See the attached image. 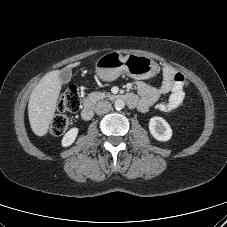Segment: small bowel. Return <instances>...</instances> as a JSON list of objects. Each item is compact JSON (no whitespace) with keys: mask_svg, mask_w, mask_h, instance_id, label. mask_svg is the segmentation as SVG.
<instances>
[{"mask_svg":"<svg viewBox=\"0 0 227 227\" xmlns=\"http://www.w3.org/2000/svg\"><path fill=\"white\" fill-rule=\"evenodd\" d=\"M186 79L171 66L163 68V78L159 87H153L145 82L136 83V89L139 94L137 98V108L140 112H147L150 107L156 105V108L164 113L175 111L185 98ZM162 94H169L168 98L159 101Z\"/></svg>","mask_w":227,"mask_h":227,"instance_id":"obj_1","label":"small bowel"}]
</instances>
